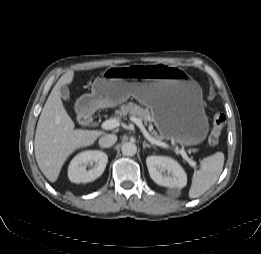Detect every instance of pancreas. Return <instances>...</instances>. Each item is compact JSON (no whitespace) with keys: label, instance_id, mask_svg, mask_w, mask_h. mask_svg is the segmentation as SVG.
<instances>
[{"label":"pancreas","instance_id":"pancreas-1","mask_svg":"<svg viewBox=\"0 0 261 254\" xmlns=\"http://www.w3.org/2000/svg\"><path fill=\"white\" fill-rule=\"evenodd\" d=\"M115 115L118 118H126L127 115L138 117L140 120H143L145 123L151 120V114L147 109H143L133 102H129L121 106L120 110L115 112ZM154 139L160 140V136L157 135L155 131L152 132Z\"/></svg>","mask_w":261,"mask_h":254}]
</instances>
